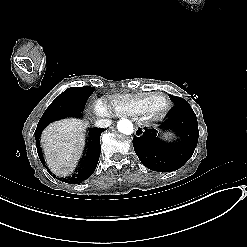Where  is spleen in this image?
I'll use <instances>...</instances> for the list:
<instances>
[{
  "label": "spleen",
  "mask_w": 247,
  "mask_h": 247,
  "mask_svg": "<svg viewBox=\"0 0 247 247\" xmlns=\"http://www.w3.org/2000/svg\"><path fill=\"white\" fill-rule=\"evenodd\" d=\"M170 135H171V134H169V133H165V134H164V137H165V138H168V136H170Z\"/></svg>",
  "instance_id": "obj_1"
}]
</instances>
